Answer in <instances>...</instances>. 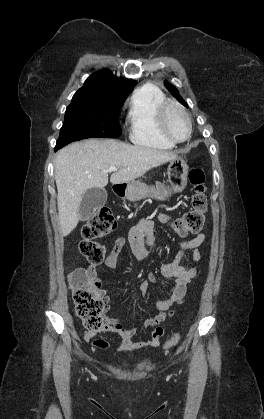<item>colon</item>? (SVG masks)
Masks as SVG:
<instances>
[{"label":"colon","instance_id":"obj_1","mask_svg":"<svg viewBox=\"0 0 264 419\" xmlns=\"http://www.w3.org/2000/svg\"><path fill=\"white\" fill-rule=\"evenodd\" d=\"M189 181L194 187L191 209L173 222V228L179 236L199 232L204 225V214L207 208L205 196V176L200 168H192ZM116 221L108 209H101L83 226V240L79 245L81 254L92 264H100L105 258V249L96 239L111 233ZM109 262H115V255ZM69 287L78 316L88 331L96 332L103 328V313L107 303L99 293L95 282L83 270H75L68 275ZM180 339L178 333L172 335L165 343L164 349L175 346Z\"/></svg>","mask_w":264,"mask_h":419}]
</instances>
